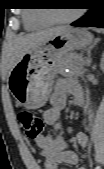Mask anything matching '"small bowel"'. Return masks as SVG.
Returning a JSON list of instances; mask_svg holds the SVG:
<instances>
[{
	"label": "small bowel",
	"instance_id": "c3829d8e",
	"mask_svg": "<svg viewBox=\"0 0 104 169\" xmlns=\"http://www.w3.org/2000/svg\"><path fill=\"white\" fill-rule=\"evenodd\" d=\"M70 94L75 102L82 99V89L74 80H61L54 89L50 103L51 106L44 114V121L57 128L61 126L62 111L67 103V95ZM76 143L85 148L88 144V137L85 133L79 132L75 136ZM36 145L41 149V155L44 159L45 169H59L61 164H77L79 156L72 150L67 149V143L64 137L42 135L36 140ZM79 169H85L80 167Z\"/></svg>",
	"mask_w": 104,
	"mask_h": 169
}]
</instances>
